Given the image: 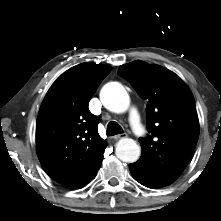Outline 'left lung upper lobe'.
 Segmentation results:
<instances>
[{
    "mask_svg": "<svg viewBox=\"0 0 221 221\" xmlns=\"http://www.w3.org/2000/svg\"><path fill=\"white\" fill-rule=\"evenodd\" d=\"M118 74L147 100L149 137L139 139L141 158L135 163L149 188L174 182L188 164L199 136L194 97L173 72L136 60L122 65Z\"/></svg>",
    "mask_w": 221,
    "mask_h": 221,
    "instance_id": "left-lung-upper-lobe-1",
    "label": "left lung upper lobe"
}]
</instances>
